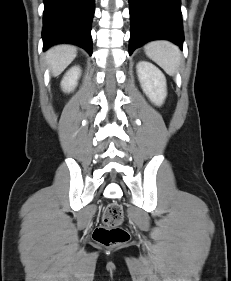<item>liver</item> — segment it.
Listing matches in <instances>:
<instances>
[{
	"instance_id": "obj_1",
	"label": "liver",
	"mask_w": 231,
	"mask_h": 281,
	"mask_svg": "<svg viewBox=\"0 0 231 281\" xmlns=\"http://www.w3.org/2000/svg\"><path fill=\"white\" fill-rule=\"evenodd\" d=\"M75 57L76 48L66 44L54 46L46 52L47 64L54 76L61 74Z\"/></svg>"
}]
</instances>
